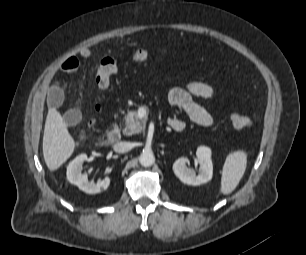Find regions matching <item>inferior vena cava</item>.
<instances>
[{
	"label": "inferior vena cava",
	"mask_w": 306,
	"mask_h": 255,
	"mask_svg": "<svg viewBox=\"0 0 306 255\" xmlns=\"http://www.w3.org/2000/svg\"><path fill=\"white\" fill-rule=\"evenodd\" d=\"M113 149L117 153H125L132 149V144L129 142H119L113 146Z\"/></svg>",
	"instance_id": "obj_1"
}]
</instances>
